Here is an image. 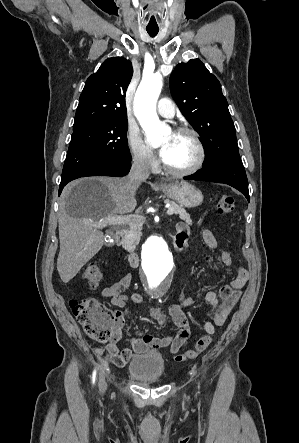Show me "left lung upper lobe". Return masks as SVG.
I'll use <instances>...</instances> for the list:
<instances>
[{"label": "left lung upper lobe", "mask_w": 299, "mask_h": 443, "mask_svg": "<svg viewBox=\"0 0 299 443\" xmlns=\"http://www.w3.org/2000/svg\"><path fill=\"white\" fill-rule=\"evenodd\" d=\"M171 94L204 141L203 167L219 163L243 165L234 123L218 79L199 59L176 66L170 77Z\"/></svg>", "instance_id": "obj_1"}]
</instances>
